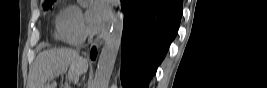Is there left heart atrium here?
Instances as JSON below:
<instances>
[{
    "label": "left heart atrium",
    "instance_id": "39dd6f15",
    "mask_svg": "<svg viewBox=\"0 0 267 88\" xmlns=\"http://www.w3.org/2000/svg\"><path fill=\"white\" fill-rule=\"evenodd\" d=\"M110 15V3L106 0L92 1L87 11V19L94 27L104 25L108 21Z\"/></svg>",
    "mask_w": 267,
    "mask_h": 88
}]
</instances>
